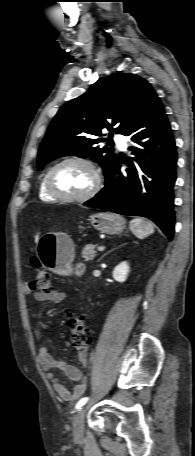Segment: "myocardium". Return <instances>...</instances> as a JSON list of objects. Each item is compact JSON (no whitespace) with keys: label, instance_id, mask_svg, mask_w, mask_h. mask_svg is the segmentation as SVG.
Here are the masks:
<instances>
[{"label":"myocardium","instance_id":"obj_1","mask_svg":"<svg viewBox=\"0 0 195 456\" xmlns=\"http://www.w3.org/2000/svg\"><path fill=\"white\" fill-rule=\"evenodd\" d=\"M67 163H80L87 166L93 175V184L91 188L83 195L68 196L57 191L53 185L52 177L54 172L62 165ZM101 186V175L97 166L90 160L84 157H68L55 165H53L45 174V188L47 192L56 200L70 203H82L92 199L99 191Z\"/></svg>","mask_w":195,"mask_h":456}]
</instances>
